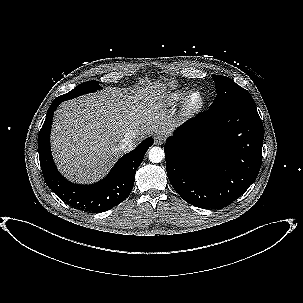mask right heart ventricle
I'll list each match as a JSON object with an SVG mask.
<instances>
[{"mask_svg": "<svg viewBox=\"0 0 303 303\" xmlns=\"http://www.w3.org/2000/svg\"><path fill=\"white\" fill-rule=\"evenodd\" d=\"M187 94L188 90L186 88L177 89L168 93L164 97V101L167 105H176L184 100Z\"/></svg>", "mask_w": 303, "mask_h": 303, "instance_id": "e07e8e85", "label": "right heart ventricle"}]
</instances>
